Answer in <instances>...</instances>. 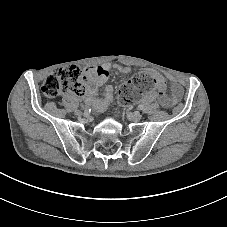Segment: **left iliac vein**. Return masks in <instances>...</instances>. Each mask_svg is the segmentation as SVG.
Wrapping results in <instances>:
<instances>
[{"instance_id":"1","label":"left iliac vein","mask_w":227,"mask_h":227,"mask_svg":"<svg viewBox=\"0 0 227 227\" xmlns=\"http://www.w3.org/2000/svg\"><path fill=\"white\" fill-rule=\"evenodd\" d=\"M127 118L132 121H139L142 119V114L139 112L128 113Z\"/></svg>"}]
</instances>
